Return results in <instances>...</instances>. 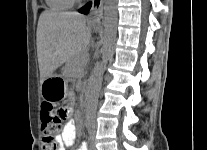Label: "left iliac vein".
Segmentation results:
<instances>
[{"instance_id":"1","label":"left iliac vein","mask_w":207,"mask_h":150,"mask_svg":"<svg viewBox=\"0 0 207 150\" xmlns=\"http://www.w3.org/2000/svg\"><path fill=\"white\" fill-rule=\"evenodd\" d=\"M89 150H97L93 142L91 143Z\"/></svg>"}]
</instances>
